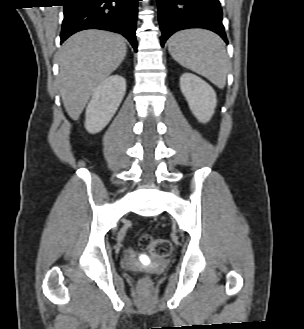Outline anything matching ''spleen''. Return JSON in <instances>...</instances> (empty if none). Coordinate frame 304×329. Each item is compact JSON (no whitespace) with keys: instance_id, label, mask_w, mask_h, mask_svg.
Listing matches in <instances>:
<instances>
[{"instance_id":"obj_1","label":"spleen","mask_w":304,"mask_h":329,"mask_svg":"<svg viewBox=\"0 0 304 329\" xmlns=\"http://www.w3.org/2000/svg\"><path fill=\"white\" fill-rule=\"evenodd\" d=\"M170 55L190 69L224 88L228 73V57L222 39L204 29H188L175 33L168 44Z\"/></svg>"}]
</instances>
